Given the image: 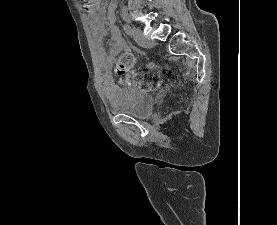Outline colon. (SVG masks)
Instances as JSON below:
<instances>
[{
    "mask_svg": "<svg viewBox=\"0 0 277 225\" xmlns=\"http://www.w3.org/2000/svg\"><path fill=\"white\" fill-rule=\"evenodd\" d=\"M88 7V6H87ZM135 59L131 53H123L119 56L116 64L117 73L125 75L134 66ZM158 74L154 71L147 70L136 73L133 79L134 85L137 88L153 91L158 86Z\"/></svg>",
    "mask_w": 277,
    "mask_h": 225,
    "instance_id": "obj_1",
    "label": "colon"
}]
</instances>
